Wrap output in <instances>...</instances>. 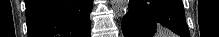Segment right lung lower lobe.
<instances>
[{"label": "right lung lower lobe", "mask_w": 219, "mask_h": 37, "mask_svg": "<svg viewBox=\"0 0 219 37\" xmlns=\"http://www.w3.org/2000/svg\"><path fill=\"white\" fill-rule=\"evenodd\" d=\"M93 0H25L28 37H90Z\"/></svg>", "instance_id": "obj_1"}]
</instances>
